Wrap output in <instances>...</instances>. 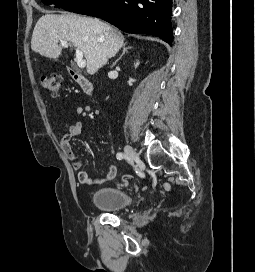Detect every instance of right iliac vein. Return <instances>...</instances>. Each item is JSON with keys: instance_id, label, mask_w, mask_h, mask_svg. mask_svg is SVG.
I'll list each match as a JSON object with an SVG mask.
<instances>
[{"instance_id": "63e3f726", "label": "right iliac vein", "mask_w": 255, "mask_h": 272, "mask_svg": "<svg viewBox=\"0 0 255 272\" xmlns=\"http://www.w3.org/2000/svg\"><path fill=\"white\" fill-rule=\"evenodd\" d=\"M124 152H125V155H126L127 159L130 162H134V161L138 160V155H137L136 151L130 145L125 146Z\"/></svg>"}]
</instances>
